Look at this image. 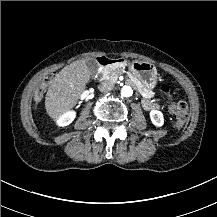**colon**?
<instances>
[{"label": "colon", "instance_id": "1", "mask_svg": "<svg viewBox=\"0 0 217 217\" xmlns=\"http://www.w3.org/2000/svg\"><path fill=\"white\" fill-rule=\"evenodd\" d=\"M55 81V76L52 73H47L44 76V79L36 86V93L34 97V101H40L48 89L53 85ZM161 94L163 96H169L171 94V87L169 84L164 83L159 88ZM169 109L174 112L175 124L177 128H183L186 126L189 120V106L185 99L179 98L177 100H173Z\"/></svg>", "mask_w": 217, "mask_h": 217}]
</instances>
